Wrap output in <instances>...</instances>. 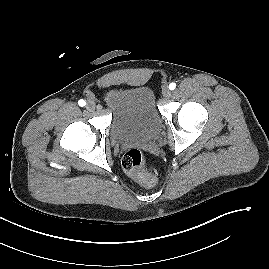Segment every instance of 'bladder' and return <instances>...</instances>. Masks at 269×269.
I'll list each match as a JSON object with an SVG mask.
<instances>
[{
    "label": "bladder",
    "mask_w": 269,
    "mask_h": 269,
    "mask_svg": "<svg viewBox=\"0 0 269 269\" xmlns=\"http://www.w3.org/2000/svg\"><path fill=\"white\" fill-rule=\"evenodd\" d=\"M104 100L112 113L111 135L115 140L146 142L159 133L161 118L149 87H113Z\"/></svg>",
    "instance_id": "bladder-1"
}]
</instances>
